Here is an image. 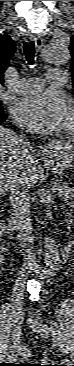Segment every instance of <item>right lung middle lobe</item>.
<instances>
[{
    "instance_id": "obj_1",
    "label": "right lung middle lobe",
    "mask_w": 74,
    "mask_h": 366,
    "mask_svg": "<svg viewBox=\"0 0 74 366\" xmlns=\"http://www.w3.org/2000/svg\"><path fill=\"white\" fill-rule=\"evenodd\" d=\"M2 116H3V111H2L1 106H0V117H2Z\"/></svg>"
}]
</instances>
